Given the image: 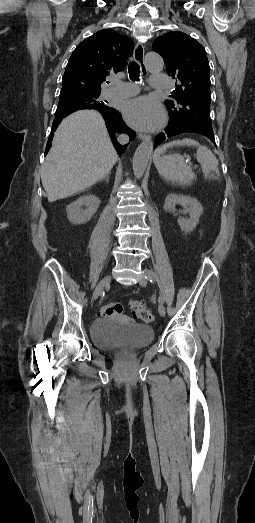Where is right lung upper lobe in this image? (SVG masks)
<instances>
[{
  "label": "right lung upper lobe",
  "mask_w": 255,
  "mask_h": 523,
  "mask_svg": "<svg viewBox=\"0 0 255 523\" xmlns=\"http://www.w3.org/2000/svg\"><path fill=\"white\" fill-rule=\"evenodd\" d=\"M133 49L134 45L129 37L112 29L98 31L82 41L73 51L63 76L61 91L100 93L101 85L106 83V78L125 68ZM81 109H95L102 114L107 130L112 134L114 147L121 155L126 145H120L114 134L125 133L132 140L135 132L123 122L119 111L96 100L90 101L87 108H77L73 105V101H59L46 153L51 146L58 124L64 117Z\"/></svg>",
  "instance_id": "1"
}]
</instances>
